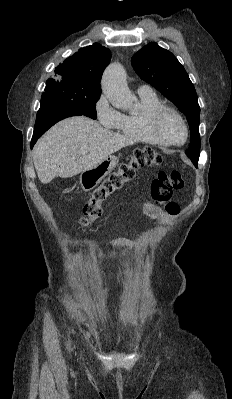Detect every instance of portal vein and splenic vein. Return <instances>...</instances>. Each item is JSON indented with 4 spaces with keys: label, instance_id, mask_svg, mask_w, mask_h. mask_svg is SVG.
I'll return each mask as SVG.
<instances>
[{
    "label": "portal vein and splenic vein",
    "instance_id": "obj_1",
    "mask_svg": "<svg viewBox=\"0 0 232 399\" xmlns=\"http://www.w3.org/2000/svg\"><path fill=\"white\" fill-rule=\"evenodd\" d=\"M88 150H89L88 146H81L80 154H82V156H85V154H87Z\"/></svg>",
    "mask_w": 232,
    "mask_h": 399
}]
</instances>
